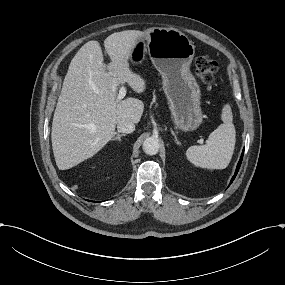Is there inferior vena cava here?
I'll use <instances>...</instances> for the list:
<instances>
[{
  "label": "inferior vena cava",
  "mask_w": 285,
  "mask_h": 285,
  "mask_svg": "<svg viewBox=\"0 0 285 285\" xmlns=\"http://www.w3.org/2000/svg\"><path fill=\"white\" fill-rule=\"evenodd\" d=\"M118 132L132 133L135 130V125L132 122L121 120L117 124Z\"/></svg>",
  "instance_id": "602c4592"
}]
</instances>
